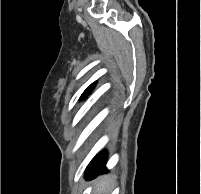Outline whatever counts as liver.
Masks as SVG:
<instances>
[{
  "label": "liver",
  "mask_w": 201,
  "mask_h": 194,
  "mask_svg": "<svg viewBox=\"0 0 201 194\" xmlns=\"http://www.w3.org/2000/svg\"><path fill=\"white\" fill-rule=\"evenodd\" d=\"M113 185V177L107 176L103 178L96 186V194L109 191Z\"/></svg>",
  "instance_id": "1"
}]
</instances>
